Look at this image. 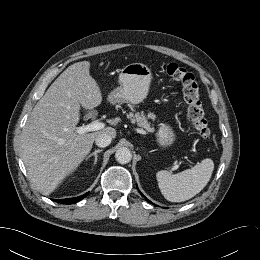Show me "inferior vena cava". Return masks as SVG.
Listing matches in <instances>:
<instances>
[{"label": "inferior vena cava", "instance_id": "obj_1", "mask_svg": "<svg viewBox=\"0 0 260 260\" xmlns=\"http://www.w3.org/2000/svg\"><path fill=\"white\" fill-rule=\"evenodd\" d=\"M112 141V136L106 133L99 134L95 138V143L98 147H106L108 146Z\"/></svg>", "mask_w": 260, "mask_h": 260}]
</instances>
